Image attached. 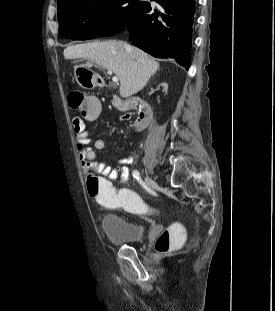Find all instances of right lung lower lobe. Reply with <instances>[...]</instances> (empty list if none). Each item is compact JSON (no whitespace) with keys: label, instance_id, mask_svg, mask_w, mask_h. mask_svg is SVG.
<instances>
[{"label":"right lung lower lobe","instance_id":"1","mask_svg":"<svg viewBox=\"0 0 275 311\" xmlns=\"http://www.w3.org/2000/svg\"><path fill=\"white\" fill-rule=\"evenodd\" d=\"M158 12L149 4L131 17L125 29L133 44L158 58H172L186 70L190 67L195 0H154ZM95 38L87 33L79 40Z\"/></svg>","mask_w":275,"mask_h":311}]
</instances>
